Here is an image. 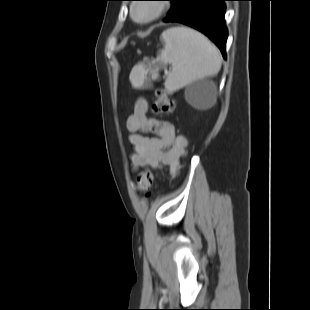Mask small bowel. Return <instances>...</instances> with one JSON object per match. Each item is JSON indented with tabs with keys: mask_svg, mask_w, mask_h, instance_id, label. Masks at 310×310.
<instances>
[{
	"mask_svg": "<svg viewBox=\"0 0 310 310\" xmlns=\"http://www.w3.org/2000/svg\"><path fill=\"white\" fill-rule=\"evenodd\" d=\"M127 129L134 149L130 158L134 171L150 167L168 168L172 174L178 173L180 162L187 152L188 139L176 134L170 122L148 116V101L145 97L136 100L134 111L127 119Z\"/></svg>",
	"mask_w": 310,
	"mask_h": 310,
	"instance_id": "c3829d8e",
	"label": "small bowel"
}]
</instances>
